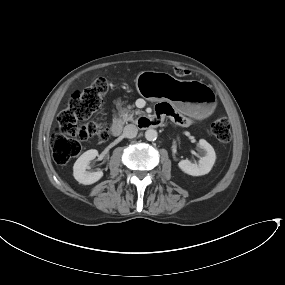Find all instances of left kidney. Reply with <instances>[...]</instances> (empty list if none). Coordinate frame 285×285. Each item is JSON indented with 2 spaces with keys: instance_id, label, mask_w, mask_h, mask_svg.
Masks as SVG:
<instances>
[{
  "instance_id": "obj_1",
  "label": "left kidney",
  "mask_w": 285,
  "mask_h": 285,
  "mask_svg": "<svg viewBox=\"0 0 285 285\" xmlns=\"http://www.w3.org/2000/svg\"><path fill=\"white\" fill-rule=\"evenodd\" d=\"M199 146L204 150V156L200 158L198 163H192L190 160H181L178 163L179 168L192 176H201L208 174L212 169L215 160L216 153L214 148L204 139L199 140Z\"/></svg>"
}]
</instances>
